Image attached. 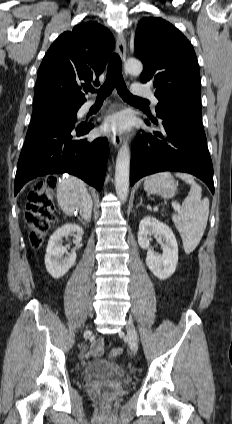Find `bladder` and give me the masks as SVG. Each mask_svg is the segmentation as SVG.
Here are the masks:
<instances>
[{
  "label": "bladder",
  "mask_w": 232,
  "mask_h": 424,
  "mask_svg": "<svg viewBox=\"0 0 232 424\" xmlns=\"http://www.w3.org/2000/svg\"><path fill=\"white\" fill-rule=\"evenodd\" d=\"M126 370L116 362H105L102 360L89 363L84 369L86 378L101 377L107 379L124 378Z\"/></svg>",
  "instance_id": "1"
}]
</instances>
